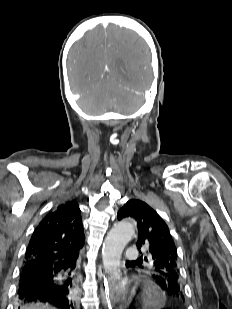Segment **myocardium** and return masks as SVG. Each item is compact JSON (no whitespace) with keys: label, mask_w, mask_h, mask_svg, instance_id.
Returning <instances> with one entry per match:
<instances>
[{"label":"myocardium","mask_w":232,"mask_h":309,"mask_svg":"<svg viewBox=\"0 0 232 309\" xmlns=\"http://www.w3.org/2000/svg\"><path fill=\"white\" fill-rule=\"evenodd\" d=\"M153 296V291L151 289H146L143 293V299L149 300Z\"/></svg>","instance_id":"1"}]
</instances>
